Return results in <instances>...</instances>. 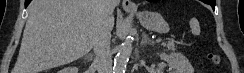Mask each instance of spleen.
I'll return each mask as SVG.
<instances>
[{"label":"spleen","mask_w":244,"mask_h":73,"mask_svg":"<svg viewBox=\"0 0 244 73\" xmlns=\"http://www.w3.org/2000/svg\"><path fill=\"white\" fill-rule=\"evenodd\" d=\"M189 25H190L191 32L193 35H195V36L200 35V25L196 18L190 19Z\"/></svg>","instance_id":"obj_1"}]
</instances>
